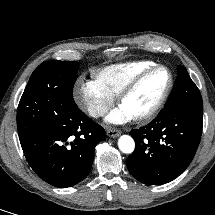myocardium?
I'll return each mask as SVG.
<instances>
[{
  "instance_id": "myocardium-1",
  "label": "myocardium",
  "mask_w": 215,
  "mask_h": 215,
  "mask_svg": "<svg viewBox=\"0 0 215 215\" xmlns=\"http://www.w3.org/2000/svg\"><path fill=\"white\" fill-rule=\"evenodd\" d=\"M156 70H164L167 72V74H168L167 84H166L163 92L161 93V95L157 99V101L154 103V105L148 111H146L140 115L132 117L133 120L136 122H140V123L148 122L151 119H153L159 113V111L162 109V107L166 103V101H167V99L171 93V90L173 88L174 78H173L172 71L165 65L154 64V65L146 68L145 70L141 71L136 76H134L122 88V90L118 94V101L122 105L123 101L139 86V84L146 77H148L151 73H153Z\"/></svg>"
}]
</instances>
